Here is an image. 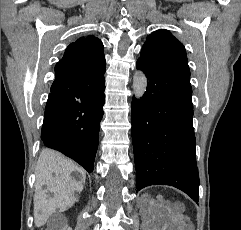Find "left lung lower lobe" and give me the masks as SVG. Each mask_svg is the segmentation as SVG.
I'll list each match as a JSON object with an SVG mask.
<instances>
[{"label": "left lung lower lobe", "instance_id": "1", "mask_svg": "<svg viewBox=\"0 0 241 230\" xmlns=\"http://www.w3.org/2000/svg\"><path fill=\"white\" fill-rule=\"evenodd\" d=\"M136 66L149 80L143 99L132 101L137 191L150 185H171L198 202L190 78L143 58H138Z\"/></svg>", "mask_w": 241, "mask_h": 230}]
</instances>
